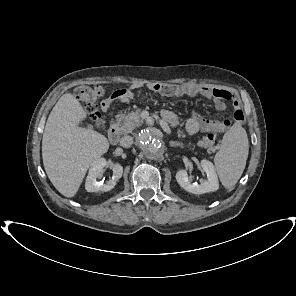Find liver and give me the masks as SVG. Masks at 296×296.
Segmentation results:
<instances>
[{
	"instance_id": "6515ba94",
	"label": "liver",
	"mask_w": 296,
	"mask_h": 296,
	"mask_svg": "<svg viewBox=\"0 0 296 296\" xmlns=\"http://www.w3.org/2000/svg\"><path fill=\"white\" fill-rule=\"evenodd\" d=\"M87 111L71 93L53 107L42 138V158L48 178L65 197L76 195L90 166L109 149L107 138L79 127Z\"/></svg>"
}]
</instances>
